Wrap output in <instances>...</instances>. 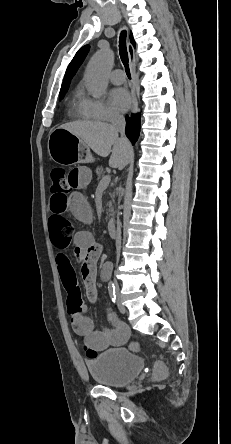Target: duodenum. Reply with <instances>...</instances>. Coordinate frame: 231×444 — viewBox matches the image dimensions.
I'll list each match as a JSON object with an SVG mask.
<instances>
[{"label": "duodenum", "mask_w": 231, "mask_h": 444, "mask_svg": "<svg viewBox=\"0 0 231 444\" xmlns=\"http://www.w3.org/2000/svg\"><path fill=\"white\" fill-rule=\"evenodd\" d=\"M117 229V222L116 219L115 220H110L107 223V227H106V231L109 237L114 238L116 237V230ZM103 278L106 279L107 278V274L104 272L103 273Z\"/></svg>", "instance_id": "1"}]
</instances>
